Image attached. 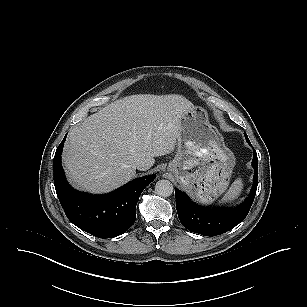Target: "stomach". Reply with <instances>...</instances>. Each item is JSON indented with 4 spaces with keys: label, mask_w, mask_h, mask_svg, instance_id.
<instances>
[{
    "label": "stomach",
    "mask_w": 307,
    "mask_h": 307,
    "mask_svg": "<svg viewBox=\"0 0 307 307\" xmlns=\"http://www.w3.org/2000/svg\"><path fill=\"white\" fill-rule=\"evenodd\" d=\"M234 166L235 156L209 123L206 110H187L180 120L175 158L168 166L181 187L204 203L212 202L228 188Z\"/></svg>",
    "instance_id": "obj_1"
}]
</instances>
